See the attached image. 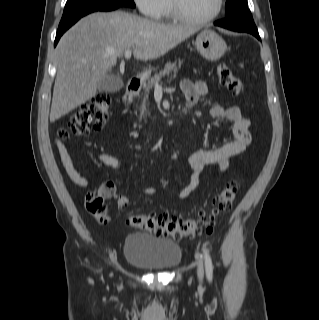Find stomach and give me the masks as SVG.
<instances>
[{"mask_svg":"<svg viewBox=\"0 0 319 320\" xmlns=\"http://www.w3.org/2000/svg\"><path fill=\"white\" fill-rule=\"evenodd\" d=\"M196 48L205 59L216 61L224 55L227 45L215 31L204 29L196 38Z\"/></svg>","mask_w":319,"mask_h":320,"instance_id":"1","label":"stomach"}]
</instances>
